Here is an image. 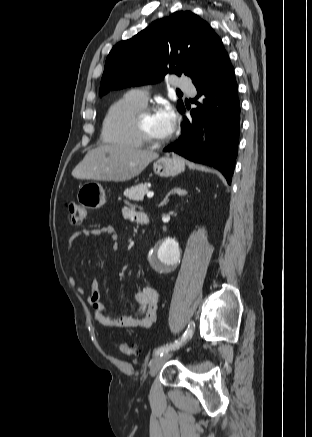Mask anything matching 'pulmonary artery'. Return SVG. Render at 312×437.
I'll return each instance as SVG.
<instances>
[{
	"label": "pulmonary artery",
	"instance_id": "pulmonary-artery-1",
	"mask_svg": "<svg viewBox=\"0 0 312 437\" xmlns=\"http://www.w3.org/2000/svg\"><path fill=\"white\" fill-rule=\"evenodd\" d=\"M174 83H175V86L180 88V89L187 90L192 94L195 93V89L192 86V84L188 80H186L182 77L176 78ZM130 94L132 95V97H134L136 100H138L139 102H141L143 104H145L147 102L148 93L145 89H142V88L136 89V90H133L132 92H130Z\"/></svg>",
	"mask_w": 312,
	"mask_h": 437
}]
</instances>
